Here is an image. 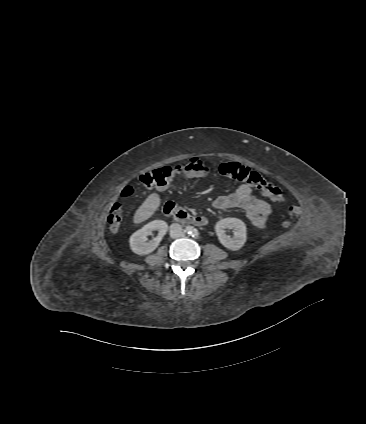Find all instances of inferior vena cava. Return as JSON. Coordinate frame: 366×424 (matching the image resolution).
Listing matches in <instances>:
<instances>
[{
    "label": "inferior vena cava",
    "mask_w": 366,
    "mask_h": 424,
    "mask_svg": "<svg viewBox=\"0 0 366 424\" xmlns=\"http://www.w3.org/2000/svg\"><path fill=\"white\" fill-rule=\"evenodd\" d=\"M183 235V229L180 224L173 223L170 225V237L179 238Z\"/></svg>",
    "instance_id": "602c4592"
}]
</instances>
